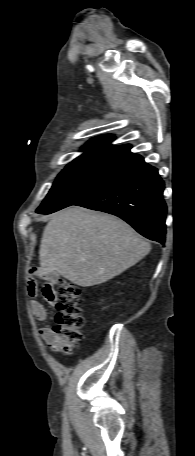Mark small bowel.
Returning <instances> with one entry per match:
<instances>
[{
    "instance_id": "small-bowel-1",
    "label": "small bowel",
    "mask_w": 195,
    "mask_h": 456,
    "mask_svg": "<svg viewBox=\"0 0 195 456\" xmlns=\"http://www.w3.org/2000/svg\"><path fill=\"white\" fill-rule=\"evenodd\" d=\"M45 280L41 290H39L37 282L32 275L29 282V293L32 297H37L39 293L50 303L54 302V290L53 286L55 283V277L52 274L40 275ZM31 309L33 315L39 320H45L47 318V311L44 305L38 300L34 299L31 301ZM41 337L49 344H55L58 342V335L54 332L53 328L45 327L40 330Z\"/></svg>"
}]
</instances>
